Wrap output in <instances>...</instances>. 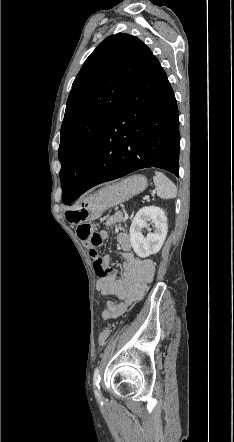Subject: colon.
I'll return each mask as SVG.
<instances>
[{
	"mask_svg": "<svg viewBox=\"0 0 234 442\" xmlns=\"http://www.w3.org/2000/svg\"><path fill=\"white\" fill-rule=\"evenodd\" d=\"M77 235L79 239L91 252H96V247L101 244L99 234L96 233L94 227L89 223L81 224L77 227ZM110 330L104 329L99 335V344L104 345L109 337Z\"/></svg>",
	"mask_w": 234,
	"mask_h": 442,
	"instance_id": "5ec220e1",
	"label": "colon"
}]
</instances>
